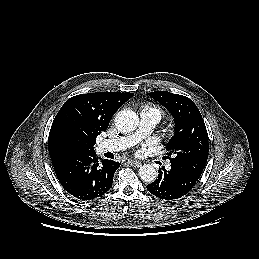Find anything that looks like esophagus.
<instances>
[{"mask_svg": "<svg viewBox=\"0 0 259 259\" xmlns=\"http://www.w3.org/2000/svg\"><path fill=\"white\" fill-rule=\"evenodd\" d=\"M132 167L138 168L142 164L139 161L133 160V159H128L127 161Z\"/></svg>", "mask_w": 259, "mask_h": 259, "instance_id": "1", "label": "esophagus"}]
</instances>
